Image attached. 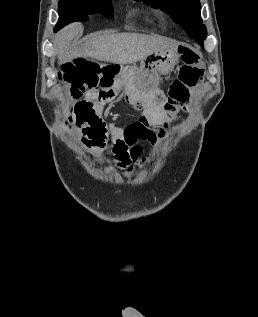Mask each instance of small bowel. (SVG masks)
<instances>
[{
  "label": "small bowel",
  "instance_id": "small-bowel-1",
  "mask_svg": "<svg viewBox=\"0 0 258 317\" xmlns=\"http://www.w3.org/2000/svg\"><path fill=\"white\" fill-rule=\"evenodd\" d=\"M69 119L78 128L81 142L89 152L100 153L111 142L113 163L128 171L134 166L146 164L142 146L138 143L140 139L158 145L165 136L164 131L154 132L151 121L146 118L122 127L101 107L87 99L71 106Z\"/></svg>",
  "mask_w": 258,
  "mask_h": 317
}]
</instances>
